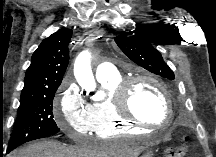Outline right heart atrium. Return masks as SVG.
I'll return each mask as SVG.
<instances>
[{
    "instance_id": "d8ad5b80",
    "label": "right heart atrium",
    "mask_w": 216,
    "mask_h": 157,
    "mask_svg": "<svg viewBox=\"0 0 216 157\" xmlns=\"http://www.w3.org/2000/svg\"><path fill=\"white\" fill-rule=\"evenodd\" d=\"M55 118L61 130L72 138L93 131L91 106L71 81L61 85Z\"/></svg>"
}]
</instances>
